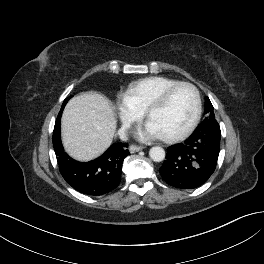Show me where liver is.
I'll use <instances>...</instances> for the list:
<instances>
[{"mask_svg":"<svg viewBox=\"0 0 264 264\" xmlns=\"http://www.w3.org/2000/svg\"><path fill=\"white\" fill-rule=\"evenodd\" d=\"M117 120L110 101L95 92L73 97L61 120L63 145L73 158L88 161L112 143Z\"/></svg>","mask_w":264,"mask_h":264,"instance_id":"liver-1","label":"liver"}]
</instances>
